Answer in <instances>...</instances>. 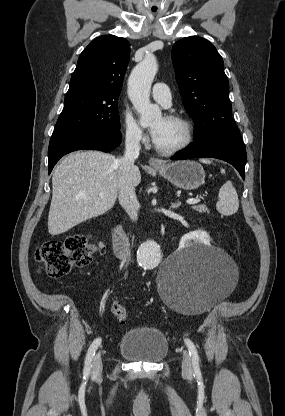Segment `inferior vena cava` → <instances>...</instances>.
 <instances>
[{"mask_svg": "<svg viewBox=\"0 0 285 416\" xmlns=\"http://www.w3.org/2000/svg\"><path fill=\"white\" fill-rule=\"evenodd\" d=\"M140 144L137 132H126L125 154L117 160L119 166V204L127 212L131 220H137L140 204L136 198L135 188L132 186L130 172L134 168L140 152Z\"/></svg>", "mask_w": 285, "mask_h": 416, "instance_id": "obj_1", "label": "inferior vena cava"}]
</instances>
